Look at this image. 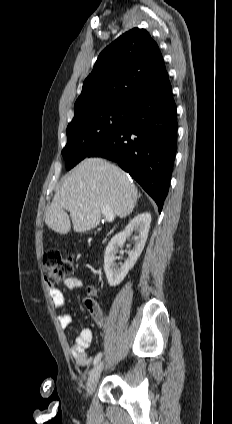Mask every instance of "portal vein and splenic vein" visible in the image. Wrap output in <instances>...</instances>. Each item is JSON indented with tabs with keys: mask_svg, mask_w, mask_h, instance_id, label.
<instances>
[{
	"mask_svg": "<svg viewBox=\"0 0 232 424\" xmlns=\"http://www.w3.org/2000/svg\"><path fill=\"white\" fill-rule=\"evenodd\" d=\"M103 215L105 216V219L108 222H112L114 220V214L112 211H110V208L107 206L102 207L101 209Z\"/></svg>",
	"mask_w": 232,
	"mask_h": 424,
	"instance_id": "obj_1",
	"label": "portal vein and splenic vein"
}]
</instances>
